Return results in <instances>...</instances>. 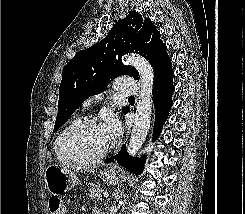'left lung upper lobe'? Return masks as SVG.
<instances>
[{"instance_id": "5c2ea615", "label": "left lung upper lobe", "mask_w": 245, "mask_h": 214, "mask_svg": "<svg viewBox=\"0 0 245 214\" xmlns=\"http://www.w3.org/2000/svg\"><path fill=\"white\" fill-rule=\"evenodd\" d=\"M135 52L146 58L154 70V80L171 65L166 44L148 18L137 12L119 20L108 35L92 47L79 51L63 69L59 88L57 131L88 97L101 93L115 77L128 74L139 80L138 71L121 63V56ZM128 108L124 107L126 112Z\"/></svg>"}]
</instances>
